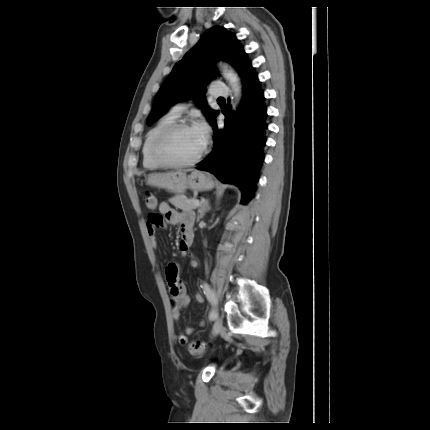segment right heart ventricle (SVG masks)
Here are the masks:
<instances>
[{
    "label": "right heart ventricle",
    "instance_id": "e07e8e85",
    "mask_svg": "<svg viewBox=\"0 0 430 430\" xmlns=\"http://www.w3.org/2000/svg\"><path fill=\"white\" fill-rule=\"evenodd\" d=\"M177 119V116L172 114L171 112L165 114L161 117L153 127H151L145 135L144 142L142 145V163L146 169H159L163 167L159 163H157L151 156L150 147L153 139L156 135L166 128L168 125L174 123Z\"/></svg>",
    "mask_w": 430,
    "mask_h": 430
}]
</instances>
